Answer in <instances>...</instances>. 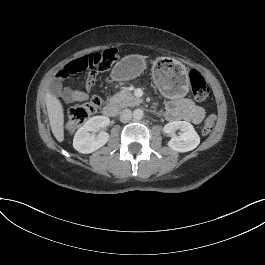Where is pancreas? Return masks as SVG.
Wrapping results in <instances>:
<instances>
[{
	"label": "pancreas",
	"mask_w": 265,
	"mask_h": 265,
	"mask_svg": "<svg viewBox=\"0 0 265 265\" xmlns=\"http://www.w3.org/2000/svg\"><path fill=\"white\" fill-rule=\"evenodd\" d=\"M112 99L121 109L136 106L143 102L141 98L135 97L127 89H122L121 92L114 94Z\"/></svg>",
	"instance_id": "obj_1"
}]
</instances>
